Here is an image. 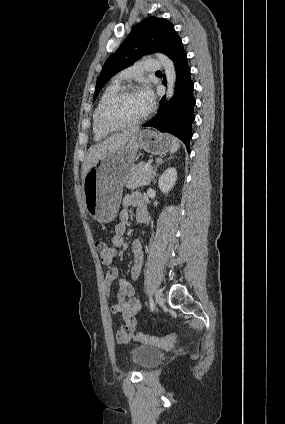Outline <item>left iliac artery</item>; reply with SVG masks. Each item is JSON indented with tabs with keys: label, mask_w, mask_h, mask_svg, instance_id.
<instances>
[{
	"label": "left iliac artery",
	"mask_w": 285,
	"mask_h": 424,
	"mask_svg": "<svg viewBox=\"0 0 285 424\" xmlns=\"http://www.w3.org/2000/svg\"><path fill=\"white\" fill-rule=\"evenodd\" d=\"M149 302H150L151 310L153 311L154 310V302H153V299L151 297H150Z\"/></svg>",
	"instance_id": "44dca946"
}]
</instances>
